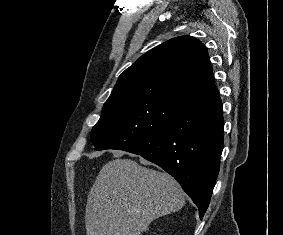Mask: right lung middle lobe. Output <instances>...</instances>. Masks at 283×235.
<instances>
[{
    "label": "right lung middle lobe",
    "instance_id": "right-lung-middle-lobe-1",
    "mask_svg": "<svg viewBox=\"0 0 283 235\" xmlns=\"http://www.w3.org/2000/svg\"><path fill=\"white\" fill-rule=\"evenodd\" d=\"M184 105L167 98H134L104 104L92 129L91 142L96 150H125L166 129Z\"/></svg>",
    "mask_w": 283,
    "mask_h": 235
}]
</instances>
